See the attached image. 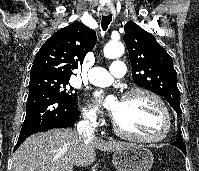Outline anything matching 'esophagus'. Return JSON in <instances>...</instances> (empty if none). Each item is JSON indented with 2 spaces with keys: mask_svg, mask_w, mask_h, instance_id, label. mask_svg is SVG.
<instances>
[{
  "mask_svg": "<svg viewBox=\"0 0 199 171\" xmlns=\"http://www.w3.org/2000/svg\"><path fill=\"white\" fill-rule=\"evenodd\" d=\"M103 14H104V15H108V14H109V11H104Z\"/></svg>",
  "mask_w": 199,
  "mask_h": 171,
  "instance_id": "34e87169",
  "label": "esophagus"
}]
</instances>
